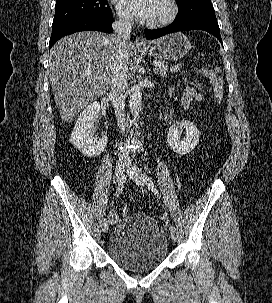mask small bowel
Returning <instances> with one entry per match:
<instances>
[{
  "label": "small bowel",
  "instance_id": "1",
  "mask_svg": "<svg viewBox=\"0 0 272 303\" xmlns=\"http://www.w3.org/2000/svg\"><path fill=\"white\" fill-rule=\"evenodd\" d=\"M202 94L193 87H186L182 94V104L189 108L193 102H201Z\"/></svg>",
  "mask_w": 272,
  "mask_h": 303
}]
</instances>
